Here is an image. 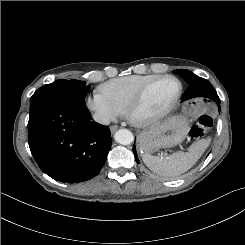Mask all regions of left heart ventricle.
Wrapping results in <instances>:
<instances>
[{"mask_svg":"<svg viewBox=\"0 0 245 245\" xmlns=\"http://www.w3.org/2000/svg\"><path fill=\"white\" fill-rule=\"evenodd\" d=\"M178 88V83L172 79H166L155 84L147 93L137 115L146 117L162 111L173 100Z\"/></svg>","mask_w":245,"mask_h":245,"instance_id":"1","label":"left heart ventricle"}]
</instances>
